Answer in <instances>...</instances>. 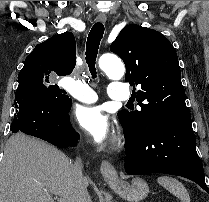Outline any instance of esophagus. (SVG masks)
Here are the masks:
<instances>
[{
  "label": "esophagus",
  "mask_w": 209,
  "mask_h": 202,
  "mask_svg": "<svg viewBox=\"0 0 209 202\" xmlns=\"http://www.w3.org/2000/svg\"><path fill=\"white\" fill-rule=\"evenodd\" d=\"M107 20V17L105 14H99L96 18L97 22L105 23ZM100 172L103 176V178L107 182L115 181L118 177L117 171L114 168V166L107 160H103L100 166Z\"/></svg>",
  "instance_id": "esophagus-1"
}]
</instances>
